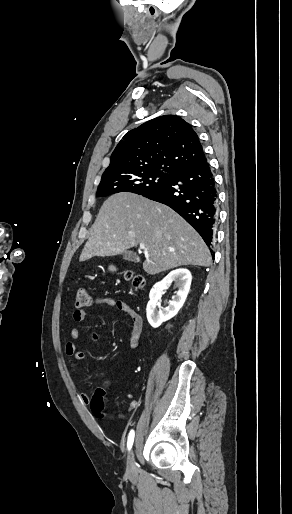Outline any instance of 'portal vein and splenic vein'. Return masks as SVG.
<instances>
[{
    "label": "portal vein and splenic vein",
    "mask_w": 292,
    "mask_h": 514,
    "mask_svg": "<svg viewBox=\"0 0 292 514\" xmlns=\"http://www.w3.org/2000/svg\"><path fill=\"white\" fill-rule=\"evenodd\" d=\"M140 250H144V254H148L144 244H140ZM169 252H174V250H169Z\"/></svg>",
    "instance_id": "18ae733b"
}]
</instances>
